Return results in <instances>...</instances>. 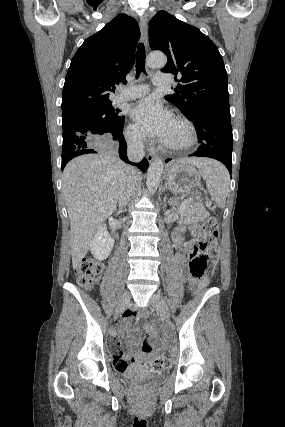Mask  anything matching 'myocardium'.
<instances>
[{
  "label": "myocardium",
  "mask_w": 285,
  "mask_h": 427,
  "mask_svg": "<svg viewBox=\"0 0 285 427\" xmlns=\"http://www.w3.org/2000/svg\"><path fill=\"white\" fill-rule=\"evenodd\" d=\"M174 120L183 124L187 131V139L185 142L181 144H172L166 141H163V145L165 148L172 151H184L192 147L197 142V132L194 124L186 117L181 115H176Z\"/></svg>",
  "instance_id": "1"
}]
</instances>
